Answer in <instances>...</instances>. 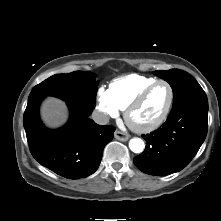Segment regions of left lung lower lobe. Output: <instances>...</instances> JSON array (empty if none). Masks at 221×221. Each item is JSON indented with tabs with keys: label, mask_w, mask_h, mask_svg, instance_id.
Here are the masks:
<instances>
[{
	"label": "left lung lower lobe",
	"mask_w": 221,
	"mask_h": 221,
	"mask_svg": "<svg viewBox=\"0 0 221 221\" xmlns=\"http://www.w3.org/2000/svg\"><path fill=\"white\" fill-rule=\"evenodd\" d=\"M208 101L203 90L192 92L173 103L162 128L143 135L144 152L134 164L144 173L156 176L182 170L198 152L208 129Z\"/></svg>",
	"instance_id": "obj_1"
}]
</instances>
